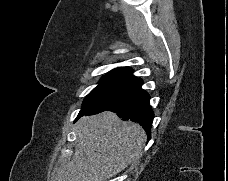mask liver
<instances>
[{
    "label": "liver",
    "mask_w": 228,
    "mask_h": 181,
    "mask_svg": "<svg viewBox=\"0 0 228 181\" xmlns=\"http://www.w3.org/2000/svg\"><path fill=\"white\" fill-rule=\"evenodd\" d=\"M70 163H62L54 181H108L141 159L147 135L116 113L82 117Z\"/></svg>",
    "instance_id": "1"
}]
</instances>
